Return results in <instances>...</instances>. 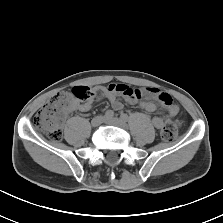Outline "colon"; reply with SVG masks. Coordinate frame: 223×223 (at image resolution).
<instances>
[{"label":"colon","mask_w":223,"mask_h":223,"mask_svg":"<svg viewBox=\"0 0 223 223\" xmlns=\"http://www.w3.org/2000/svg\"><path fill=\"white\" fill-rule=\"evenodd\" d=\"M95 92L89 86H76L70 91H61L35 114L34 127L36 131L53 142H58L62 138V124L72 109L75 100H89L93 98ZM128 95H136L135 90L126 92ZM161 136L166 142H173L177 137V126L172 121H166L161 129Z\"/></svg>","instance_id":"obj_1"}]
</instances>
